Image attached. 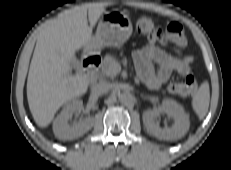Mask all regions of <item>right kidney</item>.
Returning <instances> with one entry per match:
<instances>
[{
	"instance_id": "ca27d5eb",
	"label": "right kidney",
	"mask_w": 231,
	"mask_h": 170,
	"mask_svg": "<svg viewBox=\"0 0 231 170\" xmlns=\"http://www.w3.org/2000/svg\"><path fill=\"white\" fill-rule=\"evenodd\" d=\"M83 108V101L75 99L68 103L53 122V132L60 140H73L83 136L94 125V119L87 117L69 125L72 115Z\"/></svg>"
}]
</instances>
